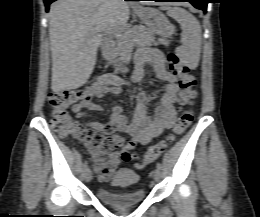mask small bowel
Instances as JSON below:
<instances>
[{"label":"small bowel","mask_w":260,"mask_h":217,"mask_svg":"<svg viewBox=\"0 0 260 217\" xmlns=\"http://www.w3.org/2000/svg\"><path fill=\"white\" fill-rule=\"evenodd\" d=\"M145 65H150L153 75L165 83L164 94L152 115H149L146 109L149 93L140 92L137 95V106L130 121L124 115L123 107L119 105L112 107L111 120L107 125L99 122L85 121V124L89 128L105 131L110 134L118 147H121L124 143L121 134L130 136L128 148H133L137 145H146L159 136L163 130L172 128L176 121L175 104L179 93L177 78L166 70L165 57L160 51L142 49L137 53L136 67L131 74V82H138L142 79ZM125 83L118 76L107 74L102 76L96 84L88 88L87 93L90 97H102L109 92L117 91V87ZM84 109L101 111L103 108L90 99L84 104L72 108L76 117L80 119H84L86 116ZM112 159L114 165H116L119 155H114Z\"/></svg>","instance_id":"obj_1"}]
</instances>
